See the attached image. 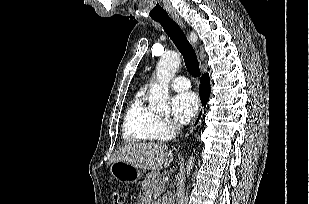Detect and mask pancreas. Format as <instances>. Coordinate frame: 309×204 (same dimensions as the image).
Returning <instances> with one entry per match:
<instances>
[{
	"mask_svg": "<svg viewBox=\"0 0 309 204\" xmlns=\"http://www.w3.org/2000/svg\"><path fill=\"white\" fill-rule=\"evenodd\" d=\"M142 186V189L146 192V200L149 202L160 196L164 183L159 172L151 171L146 175Z\"/></svg>",
	"mask_w": 309,
	"mask_h": 204,
	"instance_id": "pancreas-1",
	"label": "pancreas"
}]
</instances>
